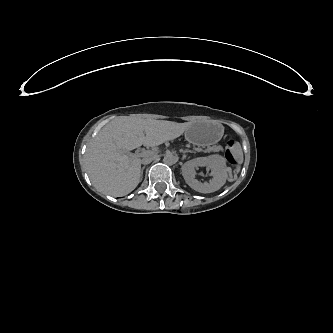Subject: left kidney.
<instances>
[{
    "instance_id": "left-kidney-1",
    "label": "left kidney",
    "mask_w": 333,
    "mask_h": 333,
    "mask_svg": "<svg viewBox=\"0 0 333 333\" xmlns=\"http://www.w3.org/2000/svg\"><path fill=\"white\" fill-rule=\"evenodd\" d=\"M205 167L211 170L212 179L201 182L196 178L198 168ZM229 167L225 159L219 154L197 157L184 163L182 175L186 183L200 193H212L219 190L228 177Z\"/></svg>"
}]
</instances>
